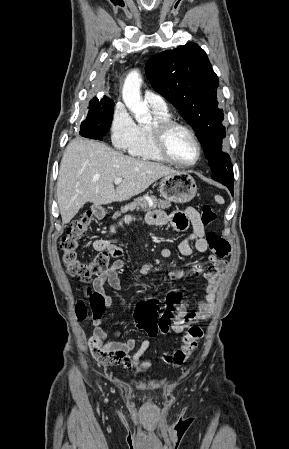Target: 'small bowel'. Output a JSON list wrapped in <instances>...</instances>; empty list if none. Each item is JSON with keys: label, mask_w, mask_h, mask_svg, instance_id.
I'll list each match as a JSON object with an SVG mask.
<instances>
[{"label": "small bowel", "mask_w": 289, "mask_h": 449, "mask_svg": "<svg viewBox=\"0 0 289 449\" xmlns=\"http://www.w3.org/2000/svg\"><path fill=\"white\" fill-rule=\"evenodd\" d=\"M146 222L150 225L162 226L170 223L177 231H184L189 223L192 226L191 235L183 240L178 250L182 256H191L194 249L200 253L208 250V242L205 237V224L203 223L200 214L192 207L185 211H175L169 216L163 211H154L146 216ZM116 226L110 227L108 234L105 237L97 239L93 243V247L97 251H107L112 258L113 263L108 269L103 271L93 280V289L96 293L103 296L107 307L111 306L112 298L107 293L105 285L108 284L114 290L122 289V281L120 276L124 274L125 262L121 258L122 248L109 240V235L115 231ZM161 255L164 258L171 256L169 248H163ZM213 270L207 271L203 264L196 263L189 270L174 269L170 271L169 276L173 280H181L187 276H202L206 281L205 296L198 303L197 309L189 311L186 302H181L177 308L176 320L173 330L176 333L183 332L192 324L207 320L213 313L215 306L216 291L218 283L227 267V261L223 258L209 257ZM152 271V266L146 265L141 269L143 274H148ZM121 335V331H115L113 338L116 339ZM150 342L144 339L138 346L133 355L129 353L136 348L137 341L135 338H129L125 341L109 340L107 341V333L102 328V320L96 319L94 321V330L92 336L89 338L88 346L92 355L103 365L121 364L125 369L137 368L141 371L147 370L151 367V361L141 362V357L149 348Z\"/></svg>", "instance_id": "obj_1"}]
</instances>
